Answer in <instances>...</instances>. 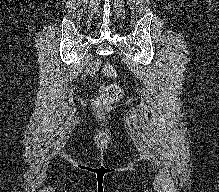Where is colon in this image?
<instances>
[{
  "label": "colon",
  "mask_w": 219,
  "mask_h": 192,
  "mask_svg": "<svg viewBox=\"0 0 219 192\" xmlns=\"http://www.w3.org/2000/svg\"><path fill=\"white\" fill-rule=\"evenodd\" d=\"M102 73L107 77H115L116 70L110 64L102 66ZM122 88L116 83L102 85L101 96L95 101V109L99 112L106 111L114 102L122 96Z\"/></svg>",
  "instance_id": "obj_1"
}]
</instances>
